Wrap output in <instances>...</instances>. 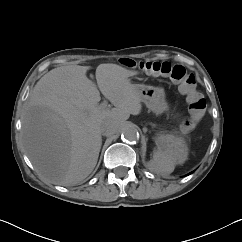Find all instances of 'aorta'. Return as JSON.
<instances>
[{
  "label": "aorta",
  "instance_id": "aorta-1",
  "mask_svg": "<svg viewBox=\"0 0 242 242\" xmlns=\"http://www.w3.org/2000/svg\"><path fill=\"white\" fill-rule=\"evenodd\" d=\"M122 138L128 142H136L139 139L137 127L133 124L125 126L122 131Z\"/></svg>",
  "mask_w": 242,
  "mask_h": 242
}]
</instances>
